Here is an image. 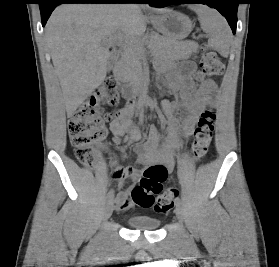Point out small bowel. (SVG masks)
I'll use <instances>...</instances> for the list:
<instances>
[{
	"instance_id": "c3829d8e",
	"label": "small bowel",
	"mask_w": 279,
	"mask_h": 267,
	"mask_svg": "<svg viewBox=\"0 0 279 267\" xmlns=\"http://www.w3.org/2000/svg\"><path fill=\"white\" fill-rule=\"evenodd\" d=\"M160 70L169 71V86L174 91H180L183 97L181 110L184 115L178 117L175 114V107L168 102L163 104L164 113L167 117V138L162 141L161 135L156 126L151 125L146 135L140 130L132 127L131 117L133 107L124 108L120 116L110 122L112 134L122 141L124 129L131 128L123 142H140L136 146L138 162L143 165L158 166L165 170L166 178L174 169L173 150L181 146L180 137H189L195 128L198 116L206 104L207 96L216 89V85L211 80H205L196 88L192 80L195 72V64L192 61H183L179 67L171 64L160 65ZM139 176V170L133 166L118 167L113 177L122 186L124 179L135 181ZM165 178V180H166ZM115 203L120 211L129 209L133 205V200L129 190H120L115 196Z\"/></svg>"
}]
</instances>
